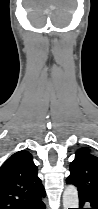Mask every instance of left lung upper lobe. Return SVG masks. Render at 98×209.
<instances>
[{
	"label": "left lung upper lobe",
	"mask_w": 98,
	"mask_h": 209,
	"mask_svg": "<svg viewBox=\"0 0 98 209\" xmlns=\"http://www.w3.org/2000/svg\"><path fill=\"white\" fill-rule=\"evenodd\" d=\"M69 170L66 183L75 185L79 196L98 203V157L91 154L89 148H81L76 152Z\"/></svg>",
	"instance_id": "5c2ea615"
}]
</instances>
